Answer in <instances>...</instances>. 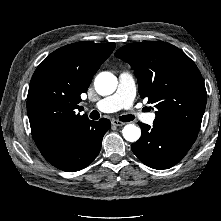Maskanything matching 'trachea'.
I'll use <instances>...</instances> for the list:
<instances>
[{
	"label": "trachea",
	"instance_id": "trachea-1",
	"mask_svg": "<svg viewBox=\"0 0 221 221\" xmlns=\"http://www.w3.org/2000/svg\"><path fill=\"white\" fill-rule=\"evenodd\" d=\"M99 117H100V114L96 110L92 111L90 114L91 119L97 120ZM119 119L122 122H129V121H132L134 117L132 115H123Z\"/></svg>",
	"mask_w": 221,
	"mask_h": 221
}]
</instances>
